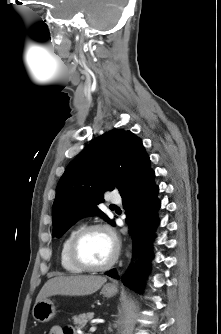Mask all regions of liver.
<instances>
[{"instance_id": "1", "label": "liver", "mask_w": 221, "mask_h": 334, "mask_svg": "<svg viewBox=\"0 0 221 334\" xmlns=\"http://www.w3.org/2000/svg\"><path fill=\"white\" fill-rule=\"evenodd\" d=\"M106 281V277L92 275L55 277L44 284L36 302L53 295H89L100 289Z\"/></svg>"}]
</instances>
